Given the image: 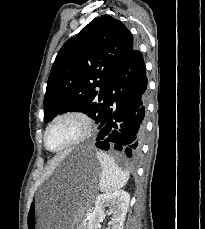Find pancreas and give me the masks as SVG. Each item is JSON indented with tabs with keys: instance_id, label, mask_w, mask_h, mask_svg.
I'll return each instance as SVG.
<instances>
[{
	"instance_id": "1",
	"label": "pancreas",
	"mask_w": 205,
	"mask_h": 229,
	"mask_svg": "<svg viewBox=\"0 0 205 229\" xmlns=\"http://www.w3.org/2000/svg\"><path fill=\"white\" fill-rule=\"evenodd\" d=\"M86 226V223H83V228Z\"/></svg>"
}]
</instances>
